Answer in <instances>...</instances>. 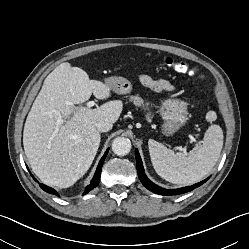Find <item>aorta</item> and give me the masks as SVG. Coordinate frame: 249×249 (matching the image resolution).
Listing matches in <instances>:
<instances>
[{
  "mask_svg": "<svg viewBox=\"0 0 249 249\" xmlns=\"http://www.w3.org/2000/svg\"><path fill=\"white\" fill-rule=\"evenodd\" d=\"M131 150V141L125 137H117L112 142V151L118 156H125Z\"/></svg>",
  "mask_w": 249,
  "mask_h": 249,
  "instance_id": "762f6f07",
  "label": "aorta"
}]
</instances>
